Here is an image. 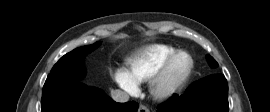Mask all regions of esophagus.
Listing matches in <instances>:
<instances>
[{
    "label": "esophagus",
    "mask_w": 270,
    "mask_h": 112,
    "mask_svg": "<svg viewBox=\"0 0 270 112\" xmlns=\"http://www.w3.org/2000/svg\"><path fill=\"white\" fill-rule=\"evenodd\" d=\"M138 112H150V111L144 105H140L139 108H138Z\"/></svg>",
    "instance_id": "34e87169"
}]
</instances>
